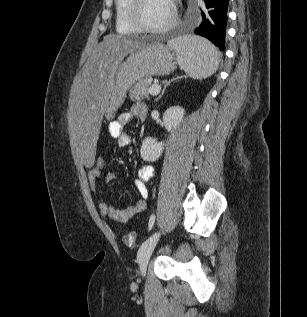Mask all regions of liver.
<instances>
[{"instance_id": "1", "label": "liver", "mask_w": 307, "mask_h": 317, "mask_svg": "<svg viewBox=\"0 0 307 317\" xmlns=\"http://www.w3.org/2000/svg\"><path fill=\"white\" fill-rule=\"evenodd\" d=\"M143 41L110 34L89 56L69 102L68 125L71 144L81 154V167H95L99 128L114 77L124 57L145 46Z\"/></svg>"}]
</instances>
